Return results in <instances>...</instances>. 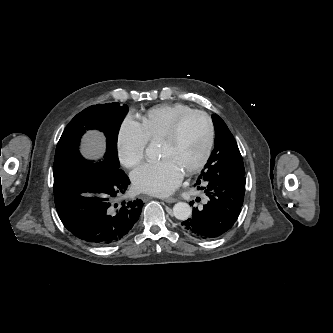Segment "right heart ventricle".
<instances>
[{
	"label": "right heart ventricle",
	"mask_w": 333,
	"mask_h": 333,
	"mask_svg": "<svg viewBox=\"0 0 333 333\" xmlns=\"http://www.w3.org/2000/svg\"><path fill=\"white\" fill-rule=\"evenodd\" d=\"M191 110L190 106L180 103L157 106L141 116V124L149 140L158 141L179 116Z\"/></svg>",
	"instance_id": "e07e8e85"
}]
</instances>
